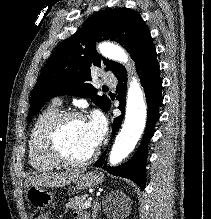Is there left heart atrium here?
I'll use <instances>...</instances> for the list:
<instances>
[{
    "label": "left heart atrium",
    "mask_w": 211,
    "mask_h": 219,
    "mask_svg": "<svg viewBox=\"0 0 211 219\" xmlns=\"http://www.w3.org/2000/svg\"><path fill=\"white\" fill-rule=\"evenodd\" d=\"M87 134L94 147L98 146L106 133V122L104 117L96 112L85 123Z\"/></svg>",
    "instance_id": "obj_1"
}]
</instances>
